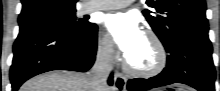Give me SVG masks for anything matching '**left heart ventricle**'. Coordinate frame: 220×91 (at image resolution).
<instances>
[{"mask_svg":"<svg viewBox=\"0 0 220 91\" xmlns=\"http://www.w3.org/2000/svg\"><path fill=\"white\" fill-rule=\"evenodd\" d=\"M126 58L133 67H151L155 62V51L152 42L144 36L138 46Z\"/></svg>","mask_w":220,"mask_h":91,"instance_id":"left-heart-ventricle-1","label":"left heart ventricle"}]
</instances>
